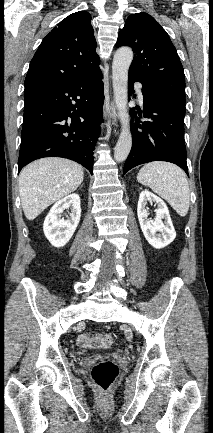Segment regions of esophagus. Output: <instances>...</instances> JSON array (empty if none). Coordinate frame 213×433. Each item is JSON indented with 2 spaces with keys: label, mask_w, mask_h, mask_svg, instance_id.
Returning a JSON list of instances; mask_svg holds the SVG:
<instances>
[{
  "label": "esophagus",
  "mask_w": 213,
  "mask_h": 433,
  "mask_svg": "<svg viewBox=\"0 0 213 433\" xmlns=\"http://www.w3.org/2000/svg\"><path fill=\"white\" fill-rule=\"evenodd\" d=\"M109 114L111 115V118H112V125L117 127L118 126L117 111H116V106H115L113 101L110 103L109 109H107V107L104 108L105 119L108 118Z\"/></svg>",
  "instance_id": "esophagus-1"
}]
</instances>
